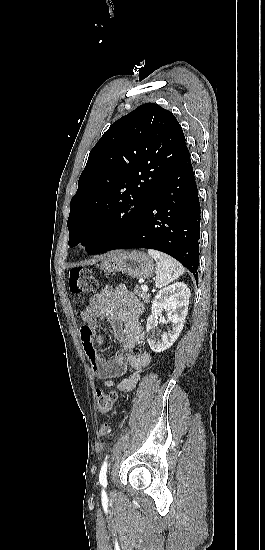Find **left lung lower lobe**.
<instances>
[{"mask_svg": "<svg viewBox=\"0 0 265 550\" xmlns=\"http://www.w3.org/2000/svg\"><path fill=\"white\" fill-rule=\"evenodd\" d=\"M199 237L200 203L187 151L132 228L99 253L127 248L159 250L177 259L197 278Z\"/></svg>", "mask_w": 265, "mask_h": 550, "instance_id": "obj_1", "label": "left lung lower lobe"}]
</instances>
